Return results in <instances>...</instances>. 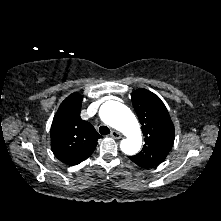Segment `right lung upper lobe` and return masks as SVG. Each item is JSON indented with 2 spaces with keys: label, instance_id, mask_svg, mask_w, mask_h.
<instances>
[{
  "label": "right lung upper lobe",
  "instance_id": "right-lung-upper-lobe-1",
  "mask_svg": "<svg viewBox=\"0 0 221 221\" xmlns=\"http://www.w3.org/2000/svg\"><path fill=\"white\" fill-rule=\"evenodd\" d=\"M82 97L68 96L60 105L51 126V147L63 163L73 166L88 158L102 136L80 117Z\"/></svg>",
  "mask_w": 221,
  "mask_h": 221
}]
</instances>
